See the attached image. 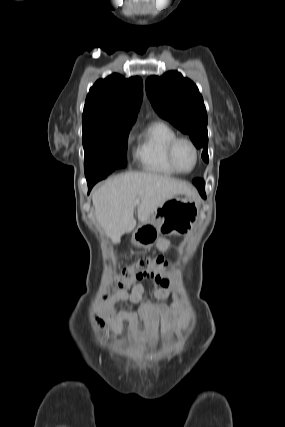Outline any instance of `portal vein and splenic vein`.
<instances>
[{
    "label": "portal vein and splenic vein",
    "mask_w": 285,
    "mask_h": 427,
    "mask_svg": "<svg viewBox=\"0 0 285 427\" xmlns=\"http://www.w3.org/2000/svg\"><path fill=\"white\" fill-rule=\"evenodd\" d=\"M138 203H139V199H136V200L134 201V205L136 206Z\"/></svg>",
    "instance_id": "portal-vein-and-splenic-vein-1"
}]
</instances>
